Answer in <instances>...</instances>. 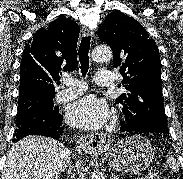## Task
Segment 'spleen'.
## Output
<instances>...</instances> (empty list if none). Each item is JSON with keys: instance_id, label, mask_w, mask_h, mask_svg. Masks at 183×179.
Listing matches in <instances>:
<instances>
[{"instance_id": "3e777b00", "label": "spleen", "mask_w": 183, "mask_h": 179, "mask_svg": "<svg viewBox=\"0 0 183 179\" xmlns=\"http://www.w3.org/2000/svg\"><path fill=\"white\" fill-rule=\"evenodd\" d=\"M166 163L167 166L170 168L173 172H178L180 169V165L177 162L176 158L173 156H166Z\"/></svg>"}]
</instances>
